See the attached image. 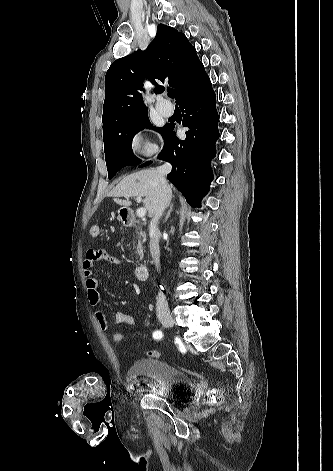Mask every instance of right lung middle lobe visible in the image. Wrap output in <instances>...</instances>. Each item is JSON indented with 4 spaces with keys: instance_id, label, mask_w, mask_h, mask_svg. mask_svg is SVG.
I'll use <instances>...</instances> for the list:
<instances>
[{
    "instance_id": "right-lung-middle-lobe-1",
    "label": "right lung middle lobe",
    "mask_w": 333,
    "mask_h": 471,
    "mask_svg": "<svg viewBox=\"0 0 333 471\" xmlns=\"http://www.w3.org/2000/svg\"><path fill=\"white\" fill-rule=\"evenodd\" d=\"M144 128L164 133L166 125L155 128L150 124L148 113H141L129 120L118 122L103 132L105 160L108 178L111 179L121 168L141 162L132 152L133 137Z\"/></svg>"
}]
</instances>
